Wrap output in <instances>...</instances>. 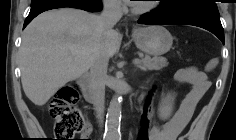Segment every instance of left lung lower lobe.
<instances>
[{"label":"left lung lower lobe","mask_w":236,"mask_h":140,"mask_svg":"<svg viewBox=\"0 0 236 140\" xmlns=\"http://www.w3.org/2000/svg\"><path fill=\"white\" fill-rule=\"evenodd\" d=\"M140 24L157 25V24H178L194 25L204 28L216 35L224 44V30L220 22V17L209 16L196 13H178L164 15L157 10L138 20Z\"/></svg>","instance_id":"obj_1"}]
</instances>
